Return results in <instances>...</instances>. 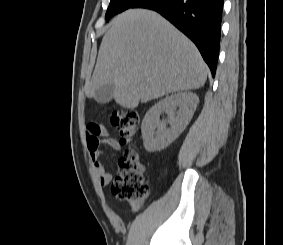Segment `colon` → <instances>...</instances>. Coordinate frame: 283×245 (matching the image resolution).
Returning a JSON list of instances; mask_svg holds the SVG:
<instances>
[{
	"mask_svg": "<svg viewBox=\"0 0 283 245\" xmlns=\"http://www.w3.org/2000/svg\"><path fill=\"white\" fill-rule=\"evenodd\" d=\"M111 124L121 137V143L130 144L139 125L138 114L130 109L116 110L111 115ZM120 170L111 183L112 194L126 202L133 210L140 209L150 196L144 178V165L137 151L129 146L119 159Z\"/></svg>",
	"mask_w": 283,
	"mask_h": 245,
	"instance_id": "obj_1",
	"label": "colon"
}]
</instances>
